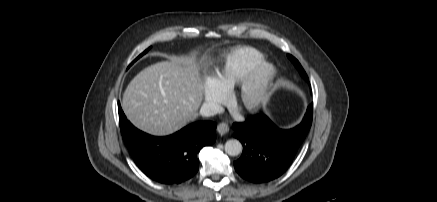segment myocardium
I'll use <instances>...</instances> for the list:
<instances>
[{
    "label": "myocardium",
    "instance_id": "1",
    "mask_svg": "<svg viewBox=\"0 0 437 202\" xmlns=\"http://www.w3.org/2000/svg\"><path fill=\"white\" fill-rule=\"evenodd\" d=\"M277 74L276 67L261 62L238 84L232 104L242 113L257 111L267 100L271 84Z\"/></svg>",
    "mask_w": 437,
    "mask_h": 202
}]
</instances>
